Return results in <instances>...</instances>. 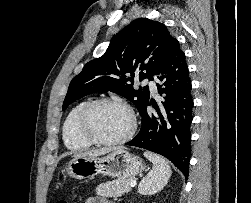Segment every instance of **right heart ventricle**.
I'll return each mask as SVG.
<instances>
[{
    "mask_svg": "<svg viewBox=\"0 0 251 203\" xmlns=\"http://www.w3.org/2000/svg\"><path fill=\"white\" fill-rule=\"evenodd\" d=\"M87 101H82L73 106L66 115L62 125V138L65 146L71 151H82L91 146L77 132V119L87 104Z\"/></svg>",
    "mask_w": 251,
    "mask_h": 203,
    "instance_id": "1",
    "label": "right heart ventricle"
}]
</instances>
